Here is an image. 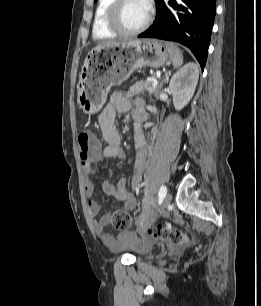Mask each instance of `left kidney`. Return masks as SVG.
Here are the masks:
<instances>
[{"instance_id": "1", "label": "left kidney", "mask_w": 261, "mask_h": 306, "mask_svg": "<svg viewBox=\"0 0 261 306\" xmlns=\"http://www.w3.org/2000/svg\"><path fill=\"white\" fill-rule=\"evenodd\" d=\"M199 78L198 66L187 63L171 78L169 89L173 95V104L176 110H181L191 100Z\"/></svg>"}]
</instances>
